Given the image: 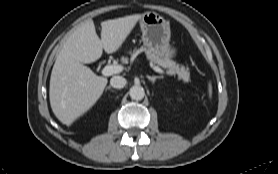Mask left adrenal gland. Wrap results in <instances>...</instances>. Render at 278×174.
<instances>
[{"label":"left adrenal gland","instance_id":"obj_1","mask_svg":"<svg viewBox=\"0 0 278 174\" xmlns=\"http://www.w3.org/2000/svg\"><path fill=\"white\" fill-rule=\"evenodd\" d=\"M147 78H148V80H150L152 83H155V81L157 80V79H161L162 77L161 76H148L147 75Z\"/></svg>","mask_w":278,"mask_h":174}]
</instances>
